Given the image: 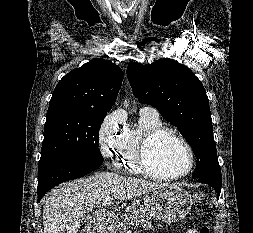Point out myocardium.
<instances>
[{
	"instance_id": "f54148a6",
	"label": "myocardium",
	"mask_w": 253,
	"mask_h": 233,
	"mask_svg": "<svg viewBox=\"0 0 253 233\" xmlns=\"http://www.w3.org/2000/svg\"><path fill=\"white\" fill-rule=\"evenodd\" d=\"M165 135H169L175 138L176 140H178L179 142H181L189 154V165L187 169L180 174H176V175L157 174L149 166V162H148L149 150L151 149L152 145L155 143V141L158 138ZM137 161H138L139 167L141 168V170L143 171L145 175L157 180L173 181V180H179V179L185 178L192 172L194 168V164H195V152L192 145L189 143V141L183 135H181L178 131L170 127L162 126L150 131L144 136V138L142 139L139 145Z\"/></svg>"
}]
</instances>
